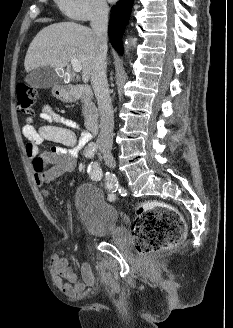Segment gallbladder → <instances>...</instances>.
Listing matches in <instances>:
<instances>
[{
	"instance_id": "bac80fb5",
	"label": "gallbladder",
	"mask_w": 233,
	"mask_h": 328,
	"mask_svg": "<svg viewBox=\"0 0 233 328\" xmlns=\"http://www.w3.org/2000/svg\"><path fill=\"white\" fill-rule=\"evenodd\" d=\"M25 81L33 88H50L59 83V77L54 67L41 66L27 75Z\"/></svg>"
}]
</instances>
